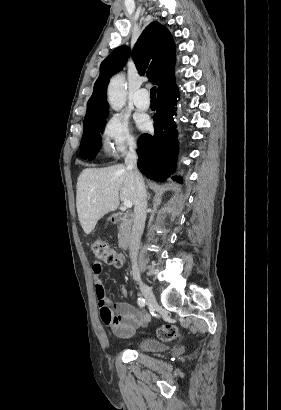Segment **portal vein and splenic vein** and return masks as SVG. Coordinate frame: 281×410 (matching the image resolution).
Segmentation results:
<instances>
[{
    "label": "portal vein and splenic vein",
    "instance_id": "1",
    "mask_svg": "<svg viewBox=\"0 0 281 410\" xmlns=\"http://www.w3.org/2000/svg\"><path fill=\"white\" fill-rule=\"evenodd\" d=\"M123 206H124V209L131 208L132 207V202L130 200H124L123 201Z\"/></svg>",
    "mask_w": 281,
    "mask_h": 410
}]
</instances>
